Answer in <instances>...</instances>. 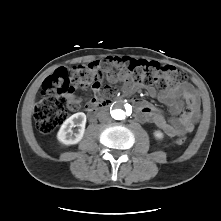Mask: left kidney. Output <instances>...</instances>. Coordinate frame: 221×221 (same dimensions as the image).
<instances>
[{
	"label": "left kidney",
	"mask_w": 221,
	"mask_h": 221,
	"mask_svg": "<svg viewBox=\"0 0 221 221\" xmlns=\"http://www.w3.org/2000/svg\"><path fill=\"white\" fill-rule=\"evenodd\" d=\"M154 136L157 138V139H162L163 138V133L160 131V130H156L154 132Z\"/></svg>",
	"instance_id": "1"
}]
</instances>
